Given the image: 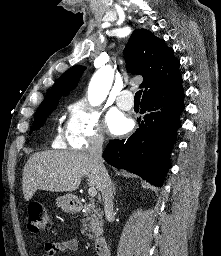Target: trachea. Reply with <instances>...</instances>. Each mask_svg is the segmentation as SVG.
I'll use <instances>...</instances> for the list:
<instances>
[{"label":"trachea","instance_id":"3493384b","mask_svg":"<svg viewBox=\"0 0 221 256\" xmlns=\"http://www.w3.org/2000/svg\"><path fill=\"white\" fill-rule=\"evenodd\" d=\"M141 95H142V90H139L138 92H136L135 97H134V102L135 103L140 102Z\"/></svg>","mask_w":221,"mask_h":256}]
</instances>
